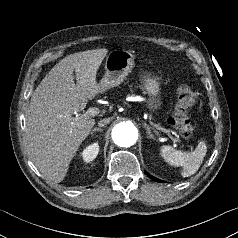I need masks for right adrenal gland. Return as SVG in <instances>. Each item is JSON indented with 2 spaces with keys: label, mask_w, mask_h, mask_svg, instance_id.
I'll return each instance as SVG.
<instances>
[{
  "label": "right adrenal gland",
  "mask_w": 238,
  "mask_h": 238,
  "mask_svg": "<svg viewBox=\"0 0 238 238\" xmlns=\"http://www.w3.org/2000/svg\"><path fill=\"white\" fill-rule=\"evenodd\" d=\"M96 131H103V128H98V127H95L92 131H91V135L93 136V134L96 132Z\"/></svg>",
  "instance_id": "2a0ac1e0"
}]
</instances>
